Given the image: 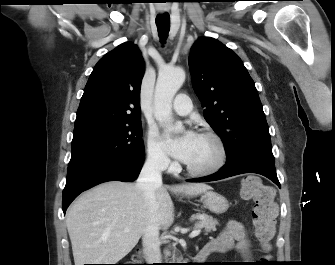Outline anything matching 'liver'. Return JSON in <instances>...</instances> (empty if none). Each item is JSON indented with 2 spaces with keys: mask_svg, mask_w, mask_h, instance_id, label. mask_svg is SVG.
Masks as SVG:
<instances>
[{
  "mask_svg": "<svg viewBox=\"0 0 335 265\" xmlns=\"http://www.w3.org/2000/svg\"><path fill=\"white\" fill-rule=\"evenodd\" d=\"M210 189L202 183L158 187L154 215L159 228L174 221L168 190L196 196ZM148 219L144 193L136 184L111 181L85 192L66 215L75 265L116 264L136 246Z\"/></svg>",
  "mask_w": 335,
  "mask_h": 265,
  "instance_id": "1",
  "label": "liver"
}]
</instances>
